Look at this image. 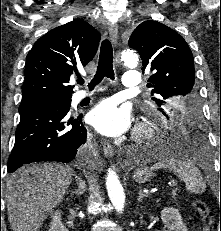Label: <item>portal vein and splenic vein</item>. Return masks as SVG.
Masks as SVG:
<instances>
[{"label":"portal vein and splenic vein","mask_w":221,"mask_h":231,"mask_svg":"<svg viewBox=\"0 0 221 231\" xmlns=\"http://www.w3.org/2000/svg\"><path fill=\"white\" fill-rule=\"evenodd\" d=\"M174 186H176V183L173 182V183L171 184V187H174Z\"/></svg>","instance_id":"18ae733b"}]
</instances>
